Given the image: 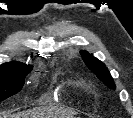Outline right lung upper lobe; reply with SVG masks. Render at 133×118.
Listing matches in <instances>:
<instances>
[{
    "mask_svg": "<svg viewBox=\"0 0 133 118\" xmlns=\"http://www.w3.org/2000/svg\"><path fill=\"white\" fill-rule=\"evenodd\" d=\"M19 67H33V66L22 64V63L15 62V61L0 65V69H14V68H19Z\"/></svg>",
    "mask_w": 133,
    "mask_h": 118,
    "instance_id": "cb5924a9",
    "label": "right lung upper lobe"
}]
</instances>
